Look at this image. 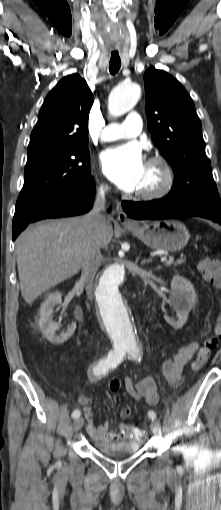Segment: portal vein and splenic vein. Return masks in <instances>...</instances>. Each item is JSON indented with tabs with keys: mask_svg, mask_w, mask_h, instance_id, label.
<instances>
[{
	"mask_svg": "<svg viewBox=\"0 0 221 510\" xmlns=\"http://www.w3.org/2000/svg\"><path fill=\"white\" fill-rule=\"evenodd\" d=\"M184 261H185V259H179V260H177V263H183ZM163 262L165 265H171L174 263V258H170L168 260L164 259Z\"/></svg>",
	"mask_w": 221,
	"mask_h": 510,
	"instance_id": "1",
	"label": "portal vein and splenic vein"
}]
</instances>
